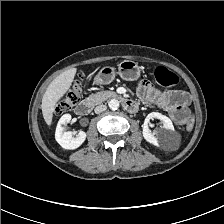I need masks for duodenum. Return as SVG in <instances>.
Listing matches in <instances>:
<instances>
[{
    "label": "duodenum",
    "instance_id": "obj_1",
    "mask_svg": "<svg viewBox=\"0 0 224 224\" xmlns=\"http://www.w3.org/2000/svg\"><path fill=\"white\" fill-rule=\"evenodd\" d=\"M106 96L111 99L122 98L118 93L115 92H107ZM95 102H96L95 98L84 99L75 106L74 111L79 116H85L92 110ZM122 104L124 106V109L130 113H134L137 111L138 105L135 101L131 99L127 98L122 99Z\"/></svg>",
    "mask_w": 224,
    "mask_h": 224
}]
</instances>
